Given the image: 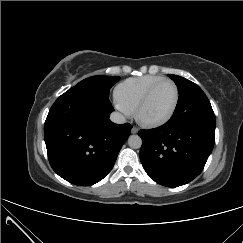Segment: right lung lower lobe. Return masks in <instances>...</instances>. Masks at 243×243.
Wrapping results in <instances>:
<instances>
[{"instance_id":"98d812e1","label":"right lung lower lobe","mask_w":243,"mask_h":243,"mask_svg":"<svg viewBox=\"0 0 243 243\" xmlns=\"http://www.w3.org/2000/svg\"><path fill=\"white\" fill-rule=\"evenodd\" d=\"M109 98L91 90L70 89L52 105L44 134L53 170L66 181L89 186L112 169L132 126L110 121Z\"/></svg>"}]
</instances>
